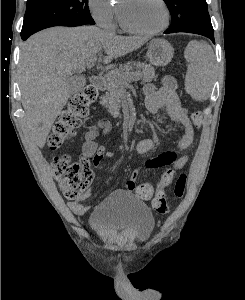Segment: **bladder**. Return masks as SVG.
<instances>
[{"label": "bladder", "instance_id": "1", "mask_svg": "<svg viewBox=\"0 0 245 300\" xmlns=\"http://www.w3.org/2000/svg\"><path fill=\"white\" fill-rule=\"evenodd\" d=\"M89 225L102 240L125 234L134 243H144L152 235L155 220L146 204L126 191H115L91 212Z\"/></svg>", "mask_w": 245, "mask_h": 300}]
</instances>
